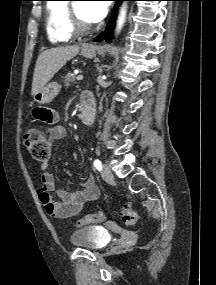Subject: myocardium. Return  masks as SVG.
<instances>
[{"instance_id":"1","label":"myocardium","mask_w":216,"mask_h":285,"mask_svg":"<svg viewBox=\"0 0 216 285\" xmlns=\"http://www.w3.org/2000/svg\"><path fill=\"white\" fill-rule=\"evenodd\" d=\"M68 26L73 35H83L88 33L92 26L84 23L77 16L74 3L68 4Z\"/></svg>"}]
</instances>
